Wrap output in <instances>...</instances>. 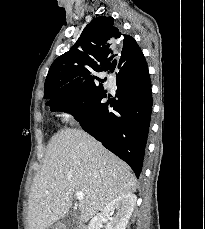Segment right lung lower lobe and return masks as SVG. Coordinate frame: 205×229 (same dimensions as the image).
I'll list each match as a JSON object with an SVG mask.
<instances>
[{
	"instance_id": "obj_1",
	"label": "right lung lower lobe",
	"mask_w": 205,
	"mask_h": 229,
	"mask_svg": "<svg viewBox=\"0 0 205 229\" xmlns=\"http://www.w3.org/2000/svg\"><path fill=\"white\" fill-rule=\"evenodd\" d=\"M117 68L114 97L97 86L69 101L60 97L46 105L52 111L73 114L86 132L128 163L138 178L151 118V81L144 55L135 68ZM106 97L108 101L103 102Z\"/></svg>"
}]
</instances>
